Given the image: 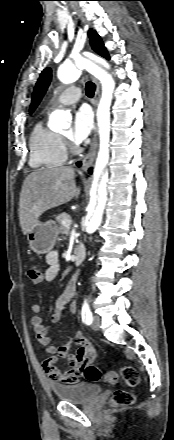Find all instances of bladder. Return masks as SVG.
Here are the masks:
<instances>
[{"mask_svg":"<svg viewBox=\"0 0 174 440\" xmlns=\"http://www.w3.org/2000/svg\"><path fill=\"white\" fill-rule=\"evenodd\" d=\"M55 396L62 402L88 403L102 391L101 387L89 382L73 384H51Z\"/></svg>","mask_w":174,"mask_h":440,"instance_id":"bladder-1","label":"bladder"}]
</instances>
